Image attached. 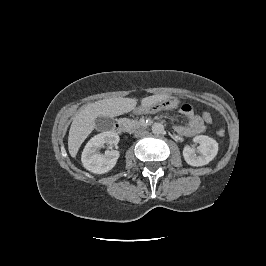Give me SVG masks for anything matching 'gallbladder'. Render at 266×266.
Returning <instances> with one entry per match:
<instances>
[{
	"label": "gallbladder",
	"instance_id": "1",
	"mask_svg": "<svg viewBox=\"0 0 266 266\" xmlns=\"http://www.w3.org/2000/svg\"><path fill=\"white\" fill-rule=\"evenodd\" d=\"M95 124L97 129H110L113 125V119L109 117L99 116L98 118H96Z\"/></svg>",
	"mask_w": 266,
	"mask_h": 266
}]
</instances>
